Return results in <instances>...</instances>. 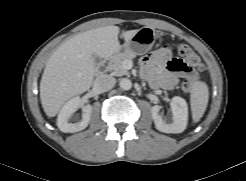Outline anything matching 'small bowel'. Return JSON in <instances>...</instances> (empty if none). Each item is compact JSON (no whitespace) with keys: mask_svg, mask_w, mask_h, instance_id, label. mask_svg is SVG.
Returning a JSON list of instances; mask_svg holds the SVG:
<instances>
[{"mask_svg":"<svg viewBox=\"0 0 246 181\" xmlns=\"http://www.w3.org/2000/svg\"><path fill=\"white\" fill-rule=\"evenodd\" d=\"M141 66L151 85L164 89L173 88L180 78L188 74L185 62L174 58L168 48H161L144 56Z\"/></svg>","mask_w":246,"mask_h":181,"instance_id":"obj_1","label":"small bowel"}]
</instances>
